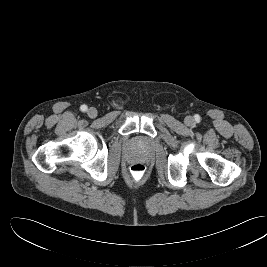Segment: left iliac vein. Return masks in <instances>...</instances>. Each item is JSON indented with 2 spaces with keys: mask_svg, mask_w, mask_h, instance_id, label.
Listing matches in <instances>:
<instances>
[{
  "mask_svg": "<svg viewBox=\"0 0 267 267\" xmlns=\"http://www.w3.org/2000/svg\"><path fill=\"white\" fill-rule=\"evenodd\" d=\"M185 123L189 126L193 125L194 124V119L191 117V116H187L185 118Z\"/></svg>",
  "mask_w": 267,
  "mask_h": 267,
  "instance_id": "obj_1",
  "label": "left iliac vein"
}]
</instances>
